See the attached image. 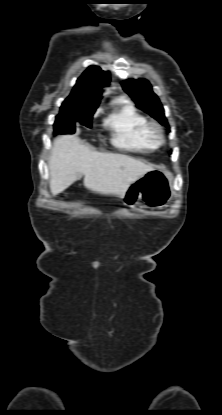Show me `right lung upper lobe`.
I'll list each match as a JSON object with an SVG mask.
<instances>
[{
  "instance_id": "1",
  "label": "right lung upper lobe",
  "mask_w": 222,
  "mask_h": 415,
  "mask_svg": "<svg viewBox=\"0 0 222 415\" xmlns=\"http://www.w3.org/2000/svg\"><path fill=\"white\" fill-rule=\"evenodd\" d=\"M109 81V72L101 70L98 66H89L78 78L61 109L78 106L97 108L101 99V89L107 86Z\"/></svg>"
}]
</instances>
